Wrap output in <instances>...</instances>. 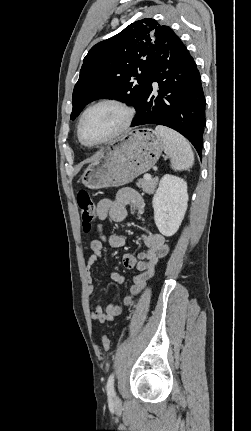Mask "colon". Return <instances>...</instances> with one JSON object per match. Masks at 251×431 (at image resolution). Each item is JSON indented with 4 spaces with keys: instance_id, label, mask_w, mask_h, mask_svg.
<instances>
[{
    "instance_id": "obj_1",
    "label": "colon",
    "mask_w": 251,
    "mask_h": 431,
    "mask_svg": "<svg viewBox=\"0 0 251 431\" xmlns=\"http://www.w3.org/2000/svg\"><path fill=\"white\" fill-rule=\"evenodd\" d=\"M77 204L80 211L83 229L85 232L91 230L92 224L95 220L97 211L94 202L86 190H80L77 194ZM102 347L105 351H109L111 347L110 337L104 334L101 339Z\"/></svg>"
}]
</instances>
